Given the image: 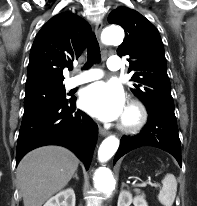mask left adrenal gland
<instances>
[{"label":"left adrenal gland","mask_w":197,"mask_h":206,"mask_svg":"<svg viewBox=\"0 0 197 206\" xmlns=\"http://www.w3.org/2000/svg\"><path fill=\"white\" fill-rule=\"evenodd\" d=\"M124 186H127L124 182H122V188L124 187Z\"/></svg>","instance_id":"a2214340"}]
</instances>
